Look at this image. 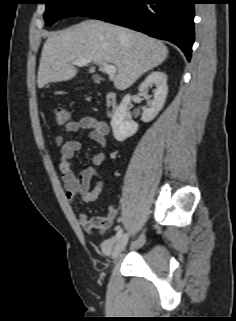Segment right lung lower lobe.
<instances>
[{
  "label": "right lung lower lobe",
  "mask_w": 236,
  "mask_h": 321,
  "mask_svg": "<svg viewBox=\"0 0 236 321\" xmlns=\"http://www.w3.org/2000/svg\"><path fill=\"white\" fill-rule=\"evenodd\" d=\"M195 0H111L88 17L176 44L191 58Z\"/></svg>",
  "instance_id": "obj_1"
}]
</instances>
